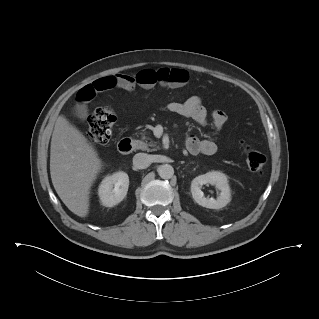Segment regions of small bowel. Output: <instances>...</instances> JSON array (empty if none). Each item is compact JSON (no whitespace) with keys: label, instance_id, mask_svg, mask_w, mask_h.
<instances>
[{"label":"small bowel","instance_id":"c3829d8e","mask_svg":"<svg viewBox=\"0 0 319 319\" xmlns=\"http://www.w3.org/2000/svg\"><path fill=\"white\" fill-rule=\"evenodd\" d=\"M188 81V74L183 69L161 68L158 70L145 69L134 78L125 74H114L102 77L91 84L84 86L78 92V99L82 102L91 100L96 93L112 88H120L133 91L137 85L150 89L155 85L164 87H179ZM165 110L177 115L193 119L199 124H206L209 120L219 130L226 121L227 115L222 110H214L210 114L204 107L199 96H191L183 102H170ZM79 115H85L86 108H78ZM185 147L191 154L212 155L216 152L217 146L214 141L198 139L196 136H189L185 141Z\"/></svg>","mask_w":319,"mask_h":319}]
</instances>
